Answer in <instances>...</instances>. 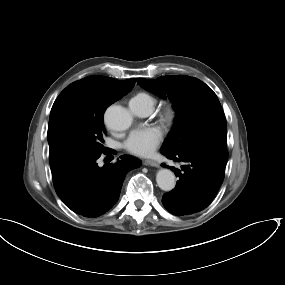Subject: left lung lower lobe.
<instances>
[{"label":"left lung lower lobe","mask_w":285,"mask_h":285,"mask_svg":"<svg viewBox=\"0 0 285 285\" xmlns=\"http://www.w3.org/2000/svg\"><path fill=\"white\" fill-rule=\"evenodd\" d=\"M160 152L183 164L181 171L170 167L179 180L174 190L163 195L164 207L176 216L191 215L206 208L223 182L227 151L200 146L177 152Z\"/></svg>","instance_id":"left-lung-lower-lobe-1"}]
</instances>
